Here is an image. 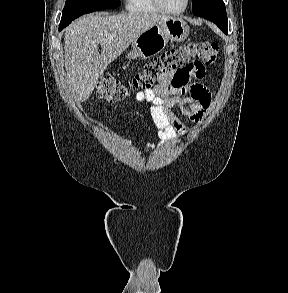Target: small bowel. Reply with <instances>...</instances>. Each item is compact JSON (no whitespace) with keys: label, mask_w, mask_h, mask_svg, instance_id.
Masks as SVG:
<instances>
[{"label":"small bowel","mask_w":288,"mask_h":293,"mask_svg":"<svg viewBox=\"0 0 288 293\" xmlns=\"http://www.w3.org/2000/svg\"><path fill=\"white\" fill-rule=\"evenodd\" d=\"M206 70L201 62H193L178 71L162 75L150 89L135 95L138 102L151 104V117L158 129L160 142L148 143L146 148L155 149L185 133L176 108L192 122L203 121L211 106V94L201 83H190V79L201 80ZM130 145L131 141L126 140Z\"/></svg>","instance_id":"c3829d8e"}]
</instances>
